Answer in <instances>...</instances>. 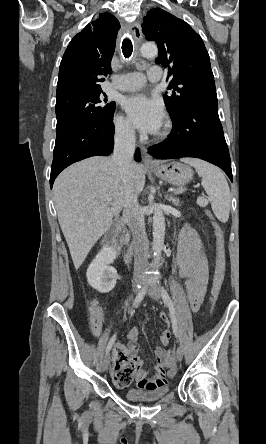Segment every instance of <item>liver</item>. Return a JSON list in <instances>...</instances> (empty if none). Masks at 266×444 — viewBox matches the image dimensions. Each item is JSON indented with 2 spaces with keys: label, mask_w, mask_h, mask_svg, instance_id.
I'll list each match as a JSON object with an SVG mask.
<instances>
[{
  "label": "liver",
  "mask_w": 266,
  "mask_h": 444,
  "mask_svg": "<svg viewBox=\"0 0 266 444\" xmlns=\"http://www.w3.org/2000/svg\"><path fill=\"white\" fill-rule=\"evenodd\" d=\"M145 185L141 164L132 162L129 173L103 156H94L65 169L53 186L58 221L78 269L97 240L106 233L124 207L128 193L138 196ZM112 198V203L106 198Z\"/></svg>",
  "instance_id": "liver-1"
}]
</instances>
